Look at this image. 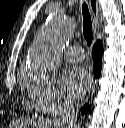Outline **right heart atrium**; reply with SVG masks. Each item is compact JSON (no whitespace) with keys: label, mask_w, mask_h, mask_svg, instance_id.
<instances>
[{"label":"right heart atrium","mask_w":125,"mask_h":128,"mask_svg":"<svg viewBox=\"0 0 125 128\" xmlns=\"http://www.w3.org/2000/svg\"><path fill=\"white\" fill-rule=\"evenodd\" d=\"M26 87L32 103L45 114L56 115L73 105L72 100L49 81L27 82Z\"/></svg>","instance_id":"d8ad5b80"}]
</instances>
